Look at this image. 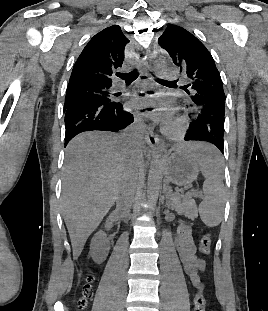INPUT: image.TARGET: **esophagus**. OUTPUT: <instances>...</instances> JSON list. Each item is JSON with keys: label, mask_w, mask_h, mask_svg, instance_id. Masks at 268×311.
I'll return each mask as SVG.
<instances>
[{"label": "esophagus", "mask_w": 268, "mask_h": 311, "mask_svg": "<svg viewBox=\"0 0 268 311\" xmlns=\"http://www.w3.org/2000/svg\"><path fill=\"white\" fill-rule=\"evenodd\" d=\"M141 65H142V72L143 74H146L149 76V79L151 81L154 80V76L152 74L148 73L147 67H148V62L146 57H144L141 61ZM145 141L148 145V147L151 150H154L160 143V140L158 138V136L153 132L152 128L149 126L148 129L145 132Z\"/></svg>", "instance_id": "obj_1"}]
</instances>
